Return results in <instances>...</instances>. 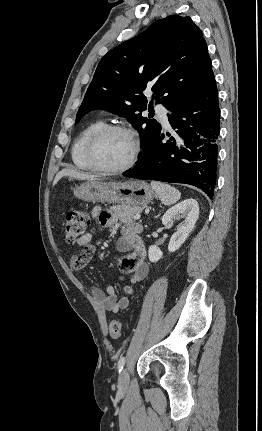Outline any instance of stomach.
Returning a JSON list of instances; mask_svg holds the SVG:
<instances>
[{
  "label": "stomach",
  "instance_id": "stomach-1",
  "mask_svg": "<svg viewBox=\"0 0 262 431\" xmlns=\"http://www.w3.org/2000/svg\"><path fill=\"white\" fill-rule=\"evenodd\" d=\"M74 196L88 202L144 206L150 203L155 192L145 181L104 182L100 179L87 180L74 189Z\"/></svg>",
  "mask_w": 262,
  "mask_h": 431
}]
</instances>
